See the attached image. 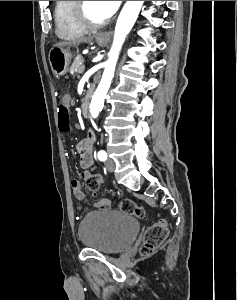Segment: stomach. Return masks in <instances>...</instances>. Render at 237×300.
I'll list each match as a JSON object with an SVG mask.
<instances>
[{
	"label": "stomach",
	"mask_w": 237,
	"mask_h": 300,
	"mask_svg": "<svg viewBox=\"0 0 237 300\" xmlns=\"http://www.w3.org/2000/svg\"><path fill=\"white\" fill-rule=\"evenodd\" d=\"M99 37L96 35V43L103 47V45H107L108 41H102V39H97ZM72 53L68 51V49H60V47H53L49 51V63L50 67L57 77H61V75H66L68 71V67L71 63Z\"/></svg>",
	"instance_id": "1"
}]
</instances>
